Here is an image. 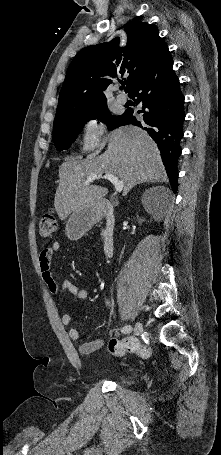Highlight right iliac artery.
I'll use <instances>...</instances> for the list:
<instances>
[{
	"instance_id": "82829eb1",
	"label": "right iliac artery",
	"mask_w": 221,
	"mask_h": 455,
	"mask_svg": "<svg viewBox=\"0 0 221 455\" xmlns=\"http://www.w3.org/2000/svg\"><path fill=\"white\" fill-rule=\"evenodd\" d=\"M107 304H109V302L107 301ZM122 333L126 334V333H130L132 331V327L130 325H126L122 328Z\"/></svg>"
}]
</instances>
